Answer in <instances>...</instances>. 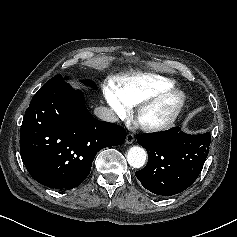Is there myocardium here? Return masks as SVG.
Segmentation results:
<instances>
[{"label":"myocardium","mask_w":237,"mask_h":237,"mask_svg":"<svg viewBox=\"0 0 237 237\" xmlns=\"http://www.w3.org/2000/svg\"><path fill=\"white\" fill-rule=\"evenodd\" d=\"M168 100H174L175 104L163 120L158 122L141 121L142 116L147 110L155 108ZM185 102L186 96L182 91L174 88L168 89L137 104L138 106L135 111V117L143 129L152 132L162 131L168 129L176 121L184 108Z\"/></svg>","instance_id":"obj_1"}]
</instances>
